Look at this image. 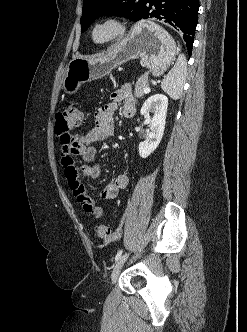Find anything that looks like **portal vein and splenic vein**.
<instances>
[{
  "label": "portal vein and splenic vein",
  "instance_id": "1",
  "mask_svg": "<svg viewBox=\"0 0 247 332\" xmlns=\"http://www.w3.org/2000/svg\"><path fill=\"white\" fill-rule=\"evenodd\" d=\"M150 92V88L149 87H146L145 89H144V93H149Z\"/></svg>",
  "mask_w": 247,
  "mask_h": 332
}]
</instances>
